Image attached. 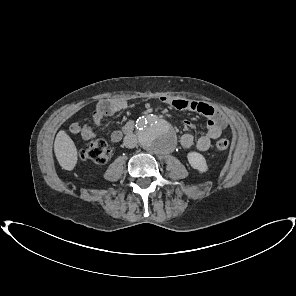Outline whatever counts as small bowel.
<instances>
[{"instance_id":"1","label":"small bowel","mask_w":296,"mask_h":296,"mask_svg":"<svg viewBox=\"0 0 296 296\" xmlns=\"http://www.w3.org/2000/svg\"><path fill=\"white\" fill-rule=\"evenodd\" d=\"M161 100L178 110L198 112L207 119L206 132L199 138L195 139L193 135L188 132L181 135L180 144L184 148H189L194 145L199 151H206L210 148L212 140L220 137L222 131L228 126L229 122L226 115L208 103L173 97H162ZM128 105V101L122 99L103 100L99 102L92 114L94 125L99 126L104 117L124 110ZM185 127L190 129L192 124L187 121L185 122ZM69 130L72 134L79 135L84 140H90L96 136V132L91 126L81 125L78 122L72 123ZM124 133V128L112 131L110 135L111 141L119 142L123 138Z\"/></svg>"}]
</instances>
